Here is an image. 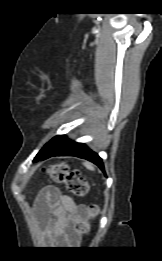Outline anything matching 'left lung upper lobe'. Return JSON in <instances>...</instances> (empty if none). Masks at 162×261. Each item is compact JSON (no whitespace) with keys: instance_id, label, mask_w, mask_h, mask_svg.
Wrapping results in <instances>:
<instances>
[{"instance_id":"1","label":"left lung upper lobe","mask_w":162,"mask_h":261,"mask_svg":"<svg viewBox=\"0 0 162 261\" xmlns=\"http://www.w3.org/2000/svg\"><path fill=\"white\" fill-rule=\"evenodd\" d=\"M65 135H57L52 138L36 155L34 161L40 160L52 147H54L58 142L64 139Z\"/></svg>"}]
</instances>
